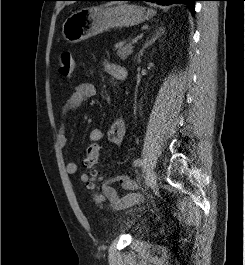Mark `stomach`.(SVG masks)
<instances>
[{
	"label": "stomach",
	"instance_id": "obj_1",
	"mask_svg": "<svg viewBox=\"0 0 245 265\" xmlns=\"http://www.w3.org/2000/svg\"><path fill=\"white\" fill-rule=\"evenodd\" d=\"M156 12L130 4L85 7L73 12L62 25V35L69 43H78L110 28L138 25Z\"/></svg>",
	"mask_w": 245,
	"mask_h": 265
}]
</instances>
